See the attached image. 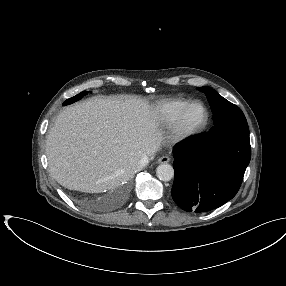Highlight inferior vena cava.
Returning <instances> with one entry per match:
<instances>
[{
    "mask_svg": "<svg viewBox=\"0 0 286 286\" xmlns=\"http://www.w3.org/2000/svg\"><path fill=\"white\" fill-rule=\"evenodd\" d=\"M149 158L147 156L143 157L139 162L136 167V169H141L143 168L147 163H148Z\"/></svg>",
    "mask_w": 286,
    "mask_h": 286,
    "instance_id": "1",
    "label": "inferior vena cava"
}]
</instances>
